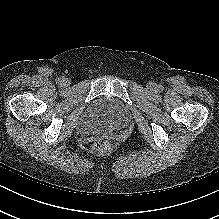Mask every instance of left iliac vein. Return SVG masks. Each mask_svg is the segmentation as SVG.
<instances>
[{"instance_id":"obj_1","label":"left iliac vein","mask_w":219,"mask_h":219,"mask_svg":"<svg viewBox=\"0 0 219 219\" xmlns=\"http://www.w3.org/2000/svg\"><path fill=\"white\" fill-rule=\"evenodd\" d=\"M149 87H150V89H154L155 88V84L154 83H150Z\"/></svg>"}]
</instances>
